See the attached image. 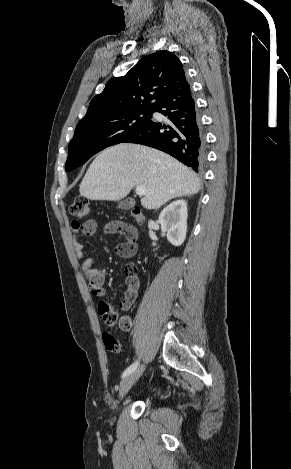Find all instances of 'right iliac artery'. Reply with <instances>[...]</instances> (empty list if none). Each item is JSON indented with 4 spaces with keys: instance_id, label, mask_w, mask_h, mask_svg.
I'll use <instances>...</instances> for the list:
<instances>
[{
    "instance_id": "obj_1",
    "label": "right iliac artery",
    "mask_w": 291,
    "mask_h": 469,
    "mask_svg": "<svg viewBox=\"0 0 291 469\" xmlns=\"http://www.w3.org/2000/svg\"><path fill=\"white\" fill-rule=\"evenodd\" d=\"M139 362L136 361L134 362L132 365H130L122 374V378H125L126 376H128L129 374H131L133 371H135V369L137 368Z\"/></svg>"
}]
</instances>
